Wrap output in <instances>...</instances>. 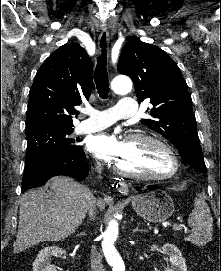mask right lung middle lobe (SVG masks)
I'll return each instance as SVG.
<instances>
[{
	"label": "right lung middle lobe",
	"instance_id": "1",
	"mask_svg": "<svg viewBox=\"0 0 221 271\" xmlns=\"http://www.w3.org/2000/svg\"><path fill=\"white\" fill-rule=\"evenodd\" d=\"M73 126L46 125L26 131L28 140L25 162L53 156L66 155L78 150L80 146L68 137L73 132Z\"/></svg>",
	"mask_w": 221,
	"mask_h": 271
}]
</instances>
